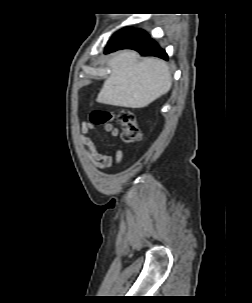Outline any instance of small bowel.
<instances>
[{
  "mask_svg": "<svg viewBox=\"0 0 252 303\" xmlns=\"http://www.w3.org/2000/svg\"><path fill=\"white\" fill-rule=\"evenodd\" d=\"M93 129L94 127L89 122L83 121L81 123V130L79 133V140L82 143L85 155L91 164L99 169H107L114 164H120L124 156L122 147L118 146L112 153H100L93 140L88 136V132ZM104 130L110 132L111 136L114 139H117L119 137V130L117 128H114L111 124H107L104 127Z\"/></svg>",
  "mask_w": 252,
  "mask_h": 303,
  "instance_id": "small-bowel-1",
  "label": "small bowel"
}]
</instances>
